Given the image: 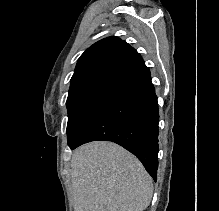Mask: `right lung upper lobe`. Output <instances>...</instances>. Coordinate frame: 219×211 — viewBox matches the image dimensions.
<instances>
[{
	"label": "right lung upper lobe",
	"instance_id": "cb5924a9",
	"mask_svg": "<svg viewBox=\"0 0 219 211\" xmlns=\"http://www.w3.org/2000/svg\"><path fill=\"white\" fill-rule=\"evenodd\" d=\"M143 67V59L128 43L114 36L104 38L79 58L68 97L99 86L115 87Z\"/></svg>",
	"mask_w": 219,
	"mask_h": 211
}]
</instances>
